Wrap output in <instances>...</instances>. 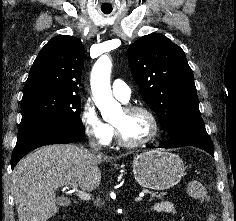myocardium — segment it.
<instances>
[{"mask_svg": "<svg viewBox=\"0 0 236 221\" xmlns=\"http://www.w3.org/2000/svg\"><path fill=\"white\" fill-rule=\"evenodd\" d=\"M123 110L127 113L142 112V113L146 114L149 117L150 121H151L152 132L144 140L132 142V141L126 140L122 136L118 126L116 124H113L115 134H116V137H117V141L121 146L126 147V148L144 147V146L149 145L150 143H152L159 136V134H160L159 120H158L156 114L153 112V110H151L149 107L143 106V105H127L123 108Z\"/></svg>", "mask_w": 236, "mask_h": 221, "instance_id": "f54148a6", "label": "myocardium"}]
</instances>
